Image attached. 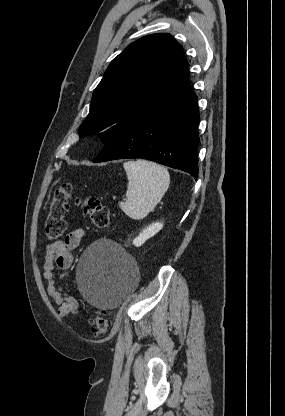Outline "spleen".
<instances>
[{
    "mask_svg": "<svg viewBox=\"0 0 285 416\" xmlns=\"http://www.w3.org/2000/svg\"><path fill=\"white\" fill-rule=\"evenodd\" d=\"M124 170L128 178L126 202L119 206L132 220H143L162 200L170 184L169 172L164 166L137 160L125 162Z\"/></svg>",
    "mask_w": 285,
    "mask_h": 416,
    "instance_id": "spleen-1",
    "label": "spleen"
}]
</instances>
